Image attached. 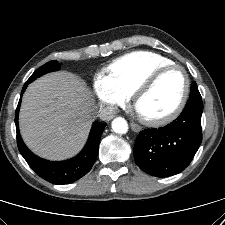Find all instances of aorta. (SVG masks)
Wrapping results in <instances>:
<instances>
[{
  "mask_svg": "<svg viewBox=\"0 0 225 225\" xmlns=\"http://www.w3.org/2000/svg\"><path fill=\"white\" fill-rule=\"evenodd\" d=\"M112 129L115 133L125 134L128 131L127 121L122 117H116L112 121Z\"/></svg>",
  "mask_w": 225,
  "mask_h": 225,
  "instance_id": "obj_1",
  "label": "aorta"
}]
</instances>
